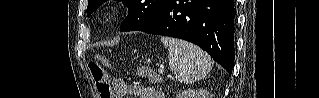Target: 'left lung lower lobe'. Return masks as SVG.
I'll return each mask as SVG.
<instances>
[{"instance_id": "0a47b994", "label": "left lung lower lobe", "mask_w": 319, "mask_h": 98, "mask_svg": "<svg viewBox=\"0 0 319 98\" xmlns=\"http://www.w3.org/2000/svg\"><path fill=\"white\" fill-rule=\"evenodd\" d=\"M234 0H164L139 31L197 44L230 74L234 66Z\"/></svg>"}]
</instances>
